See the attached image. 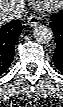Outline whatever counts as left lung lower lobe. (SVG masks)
Returning a JSON list of instances; mask_svg holds the SVG:
<instances>
[{"label": "left lung lower lobe", "mask_w": 63, "mask_h": 107, "mask_svg": "<svg viewBox=\"0 0 63 107\" xmlns=\"http://www.w3.org/2000/svg\"><path fill=\"white\" fill-rule=\"evenodd\" d=\"M50 26L56 39V50L53 56L56 68L63 73V10L51 15Z\"/></svg>", "instance_id": "left-lung-lower-lobe-1"}]
</instances>
